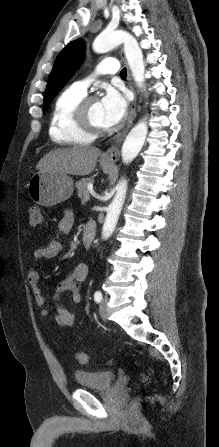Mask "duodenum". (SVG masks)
<instances>
[{"mask_svg": "<svg viewBox=\"0 0 219 447\" xmlns=\"http://www.w3.org/2000/svg\"><path fill=\"white\" fill-rule=\"evenodd\" d=\"M96 225L93 221L86 222L82 232V246L85 250L89 249L95 235Z\"/></svg>", "mask_w": 219, "mask_h": 447, "instance_id": "obj_1", "label": "duodenum"}]
</instances>
